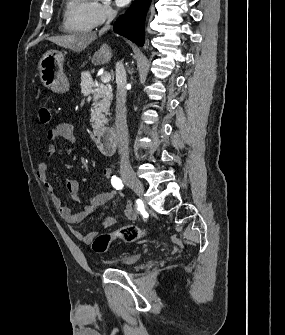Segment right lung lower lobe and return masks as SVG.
<instances>
[{
	"label": "right lung lower lobe",
	"instance_id": "98d812e1",
	"mask_svg": "<svg viewBox=\"0 0 285 335\" xmlns=\"http://www.w3.org/2000/svg\"><path fill=\"white\" fill-rule=\"evenodd\" d=\"M151 0H135L133 6L114 24V31L139 46L144 44V22Z\"/></svg>",
	"mask_w": 285,
	"mask_h": 335
}]
</instances>
